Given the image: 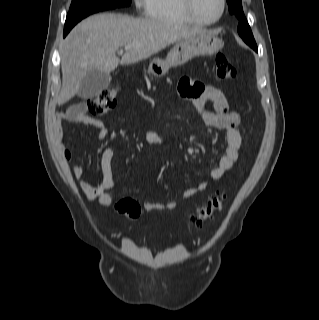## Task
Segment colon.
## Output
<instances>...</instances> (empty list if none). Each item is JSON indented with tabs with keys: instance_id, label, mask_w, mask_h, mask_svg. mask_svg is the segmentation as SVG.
Masks as SVG:
<instances>
[{
	"instance_id": "5ec220e1",
	"label": "colon",
	"mask_w": 319,
	"mask_h": 320,
	"mask_svg": "<svg viewBox=\"0 0 319 320\" xmlns=\"http://www.w3.org/2000/svg\"><path fill=\"white\" fill-rule=\"evenodd\" d=\"M216 76L219 79H233L236 76V70L228 57L224 53L216 55ZM118 91L116 88L104 90L99 95L90 100L88 104L89 111L94 115H103L111 111L117 100ZM225 201L223 193H215L208 201L191 217V223L196 227H202L206 221L220 210ZM115 208L118 212L130 217L137 218L141 214L140 204L132 198L120 199Z\"/></svg>"
}]
</instances>
